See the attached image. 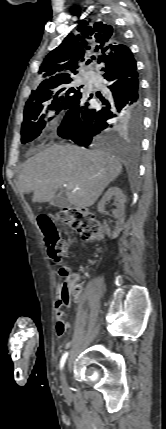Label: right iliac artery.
Masks as SVG:
<instances>
[{"instance_id":"right-iliac-artery-1","label":"right iliac artery","mask_w":166,"mask_h":429,"mask_svg":"<svg viewBox=\"0 0 166 429\" xmlns=\"http://www.w3.org/2000/svg\"><path fill=\"white\" fill-rule=\"evenodd\" d=\"M67 357H68V352H65V353L63 354L62 358H61V361H60V368H61V369L63 368V366H64V364H65V362H66Z\"/></svg>"}]
</instances>
